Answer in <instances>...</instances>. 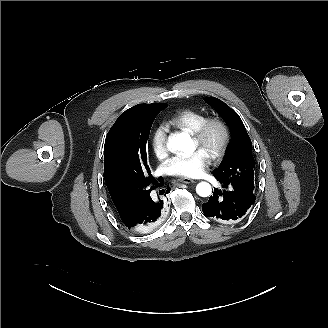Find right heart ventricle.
Wrapping results in <instances>:
<instances>
[{"label": "right heart ventricle", "mask_w": 328, "mask_h": 328, "mask_svg": "<svg viewBox=\"0 0 328 328\" xmlns=\"http://www.w3.org/2000/svg\"><path fill=\"white\" fill-rule=\"evenodd\" d=\"M205 118L206 115L203 112L196 110H185L172 115L169 122L173 126L187 132L188 134H192Z\"/></svg>", "instance_id": "right-heart-ventricle-1"}]
</instances>
